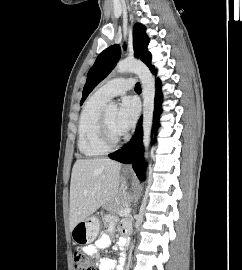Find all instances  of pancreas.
Returning <instances> with one entry per match:
<instances>
[{"mask_svg":"<svg viewBox=\"0 0 242 270\" xmlns=\"http://www.w3.org/2000/svg\"><path fill=\"white\" fill-rule=\"evenodd\" d=\"M131 197L127 194L121 195L116 201H112L106 205L105 209L111 213H118L129 205Z\"/></svg>","mask_w":242,"mask_h":270,"instance_id":"pancreas-1","label":"pancreas"}]
</instances>
